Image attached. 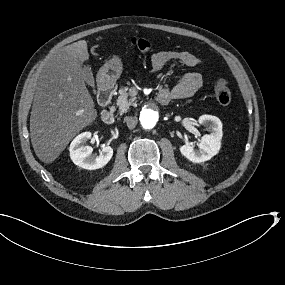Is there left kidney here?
<instances>
[{"mask_svg":"<svg viewBox=\"0 0 285 285\" xmlns=\"http://www.w3.org/2000/svg\"><path fill=\"white\" fill-rule=\"evenodd\" d=\"M198 122L207 124L211 128L212 133L202 136L198 145L199 150H195L191 145L180 147L181 154L194 163L205 162L215 156L220 150L223 135L222 122L218 117L202 115L199 117Z\"/></svg>","mask_w":285,"mask_h":285,"instance_id":"obj_1","label":"left kidney"}]
</instances>
